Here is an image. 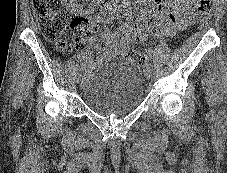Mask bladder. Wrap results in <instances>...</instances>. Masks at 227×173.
Masks as SVG:
<instances>
[{"instance_id": "obj_1", "label": "bladder", "mask_w": 227, "mask_h": 173, "mask_svg": "<svg viewBox=\"0 0 227 173\" xmlns=\"http://www.w3.org/2000/svg\"><path fill=\"white\" fill-rule=\"evenodd\" d=\"M81 97L101 116H124L133 112L144 97L140 67L128 59L103 61L85 78Z\"/></svg>"}]
</instances>
